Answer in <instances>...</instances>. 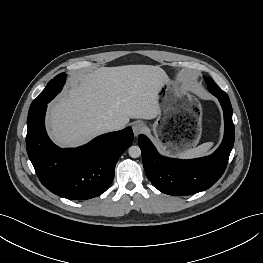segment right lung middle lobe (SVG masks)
<instances>
[{
  "instance_id": "dd1d6c3e",
  "label": "right lung middle lobe",
  "mask_w": 263,
  "mask_h": 263,
  "mask_svg": "<svg viewBox=\"0 0 263 263\" xmlns=\"http://www.w3.org/2000/svg\"><path fill=\"white\" fill-rule=\"evenodd\" d=\"M66 74L60 73L54 79H52L45 89L39 94L37 98L32 102L29 112L33 111L42 105L50 102L62 89L65 83Z\"/></svg>"
}]
</instances>
